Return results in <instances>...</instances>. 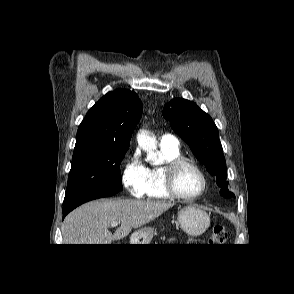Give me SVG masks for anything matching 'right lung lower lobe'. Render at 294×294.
Returning a JSON list of instances; mask_svg holds the SVG:
<instances>
[{"label": "right lung lower lobe", "instance_id": "right-lung-lower-lobe-1", "mask_svg": "<svg viewBox=\"0 0 294 294\" xmlns=\"http://www.w3.org/2000/svg\"><path fill=\"white\" fill-rule=\"evenodd\" d=\"M119 191H110V192H102V193H93V194H88L85 195L81 198H78L76 200H73L67 204H63V218L70 212L72 211L74 208H76L77 206L93 200V199H97V198H102V197H108V196H112L116 193H118Z\"/></svg>", "mask_w": 294, "mask_h": 294}]
</instances>
